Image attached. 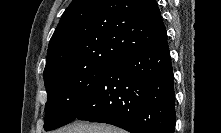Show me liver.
Returning a JSON list of instances; mask_svg holds the SVG:
<instances>
[{"mask_svg": "<svg viewBox=\"0 0 221 133\" xmlns=\"http://www.w3.org/2000/svg\"><path fill=\"white\" fill-rule=\"evenodd\" d=\"M56 133H125L124 130L103 123L76 121Z\"/></svg>", "mask_w": 221, "mask_h": 133, "instance_id": "obj_1", "label": "liver"}]
</instances>
